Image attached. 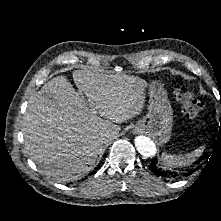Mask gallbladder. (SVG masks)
<instances>
[{"label": "gallbladder", "instance_id": "obj_1", "mask_svg": "<svg viewBox=\"0 0 221 221\" xmlns=\"http://www.w3.org/2000/svg\"><path fill=\"white\" fill-rule=\"evenodd\" d=\"M44 96H45L46 98H48V99H52V96L49 95V94H44Z\"/></svg>", "mask_w": 221, "mask_h": 221}]
</instances>
